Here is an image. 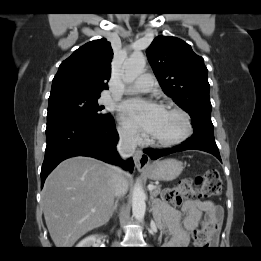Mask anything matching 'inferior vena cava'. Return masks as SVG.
<instances>
[{
  "mask_svg": "<svg viewBox=\"0 0 261 261\" xmlns=\"http://www.w3.org/2000/svg\"><path fill=\"white\" fill-rule=\"evenodd\" d=\"M138 137L135 132L124 131L120 133L119 142L117 144V151L124 159L132 156L137 146ZM123 172L121 169L115 167V196H124L127 192V186L123 181Z\"/></svg>",
  "mask_w": 261,
  "mask_h": 261,
  "instance_id": "obj_1",
  "label": "inferior vena cava"
}]
</instances>
